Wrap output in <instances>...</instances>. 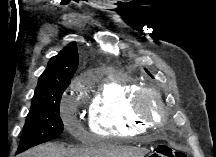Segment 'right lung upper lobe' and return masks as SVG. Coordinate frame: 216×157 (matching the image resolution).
I'll return each instance as SVG.
<instances>
[{"label":"right lung upper lobe","instance_id":"1","mask_svg":"<svg viewBox=\"0 0 216 157\" xmlns=\"http://www.w3.org/2000/svg\"><path fill=\"white\" fill-rule=\"evenodd\" d=\"M78 51L75 42L70 43L57 56L50 59L46 70L39 77L32 102H37L57 92L71 82L78 67Z\"/></svg>","mask_w":216,"mask_h":157}]
</instances>
